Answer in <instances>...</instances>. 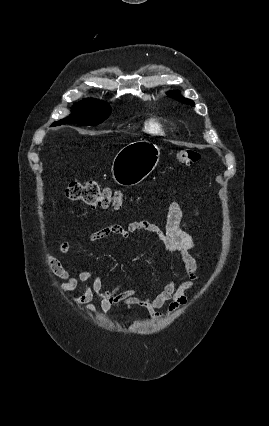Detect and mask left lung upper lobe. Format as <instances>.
<instances>
[{"instance_id":"5c2ea615","label":"left lung upper lobe","mask_w":269,"mask_h":426,"mask_svg":"<svg viewBox=\"0 0 269 426\" xmlns=\"http://www.w3.org/2000/svg\"><path fill=\"white\" fill-rule=\"evenodd\" d=\"M168 95L180 102H184L190 104L191 106H194V102L192 100L182 97L178 91H171L168 93Z\"/></svg>"}]
</instances>
